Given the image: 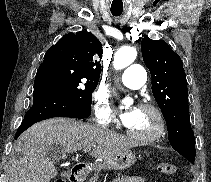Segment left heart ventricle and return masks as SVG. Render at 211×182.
I'll return each instance as SVG.
<instances>
[{"label":"left heart ventricle","instance_id":"obj_1","mask_svg":"<svg viewBox=\"0 0 211 182\" xmlns=\"http://www.w3.org/2000/svg\"><path fill=\"white\" fill-rule=\"evenodd\" d=\"M158 121L155 114L147 109L139 108L137 116L128 128L140 136L151 135L157 128Z\"/></svg>","mask_w":211,"mask_h":182}]
</instances>
